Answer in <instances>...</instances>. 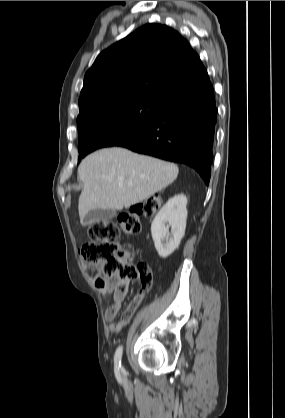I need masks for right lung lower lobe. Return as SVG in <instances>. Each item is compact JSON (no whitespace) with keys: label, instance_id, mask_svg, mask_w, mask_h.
Listing matches in <instances>:
<instances>
[{"label":"right lung lower lobe","instance_id":"1","mask_svg":"<svg viewBox=\"0 0 285 418\" xmlns=\"http://www.w3.org/2000/svg\"><path fill=\"white\" fill-rule=\"evenodd\" d=\"M217 108L209 76L167 102L160 115L115 146L194 168L206 185L213 162Z\"/></svg>","mask_w":285,"mask_h":418}]
</instances>
